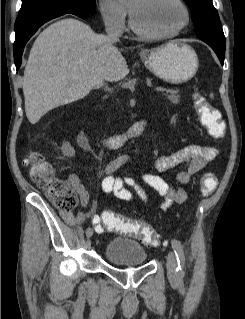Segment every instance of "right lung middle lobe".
Instances as JSON below:
<instances>
[{
  "instance_id": "obj_1",
  "label": "right lung middle lobe",
  "mask_w": 245,
  "mask_h": 319,
  "mask_svg": "<svg viewBox=\"0 0 245 319\" xmlns=\"http://www.w3.org/2000/svg\"><path fill=\"white\" fill-rule=\"evenodd\" d=\"M95 0H22L18 17L49 8H68L92 14L95 10Z\"/></svg>"
}]
</instances>
